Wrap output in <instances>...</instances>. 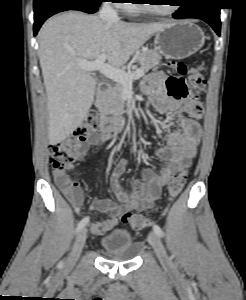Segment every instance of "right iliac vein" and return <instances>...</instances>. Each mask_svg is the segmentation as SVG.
<instances>
[{
  "label": "right iliac vein",
  "instance_id": "63e3f726",
  "mask_svg": "<svg viewBox=\"0 0 246 300\" xmlns=\"http://www.w3.org/2000/svg\"><path fill=\"white\" fill-rule=\"evenodd\" d=\"M86 237H87V230H86V228H82L76 237L75 243H74L72 251L70 253V256L66 261V264H65L66 270H70L76 264V262L80 256V253L84 247V244L86 242Z\"/></svg>",
  "mask_w": 246,
  "mask_h": 300
}]
</instances>
